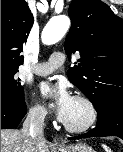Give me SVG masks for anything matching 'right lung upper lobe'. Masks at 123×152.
Wrapping results in <instances>:
<instances>
[{
  "mask_svg": "<svg viewBox=\"0 0 123 152\" xmlns=\"http://www.w3.org/2000/svg\"><path fill=\"white\" fill-rule=\"evenodd\" d=\"M25 0H1V67L18 69L24 44L33 25Z\"/></svg>",
  "mask_w": 123,
  "mask_h": 152,
  "instance_id": "1",
  "label": "right lung upper lobe"
}]
</instances>
